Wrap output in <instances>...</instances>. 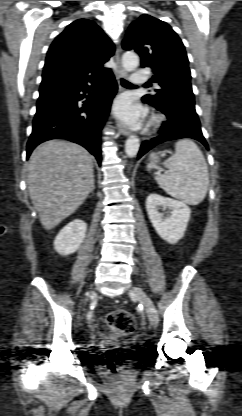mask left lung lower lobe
Returning <instances> with one entry per match:
<instances>
[{
  "label": "left lung lower lobe",
  "instance_id": "left-lung-lower-lobe-1",
  "mask_svg": "<svg viewBox=\"0 0 242 416\" xmlns=\"http://www.w3.org/2000/svg\"><path fill=\"white\" fill-rule=\"evenodd\" d=\"M156 108L162 111L167 116L168 120L161 126V135L142 143L138 153V159L160 143L182 138L195 139L208 148V144L201 132L200 122L193 106L172 103L166 108Z\"/></svg>",
  "mask_w": 242,
  "mask_h": 416
}]
</instances>
